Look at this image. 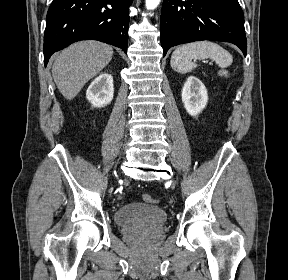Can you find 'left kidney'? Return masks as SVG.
Segmentation results:
<instances>
[{
  "instance_id": "1",
  "label": "left kidney",
  "mask_w": 288,
  "mask_h": 280,
  "mask_svg": "<svg viewBox=\"0 0 288 280\" xmlns=\"http://www.w3.org/2000/svg\"><path fill=\"white\" fill-rule=\"evenodd\" d=\"M181 96L184 107L191 116H197L201 113L208 102L206 87L194 76L187 78Z\"/></svg>"
}]
</instances>
